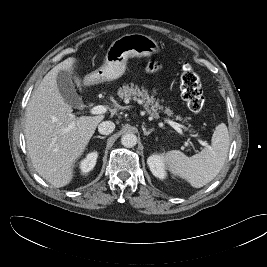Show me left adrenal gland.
Returning <instances> with one entry per match:
<instances>
[{
	"label": "left adrenal gland",
	"mask_w": 267,
	"mask_h": 267,
	"mask_svg": "<svg viewBox=\"0 0 267 267\" xmlns=\"http://www.w3.org/2000/svg\"><path fill=\"white\" fill-rule=\"evenodd\" d=\"M142 130L145 136H148L153 131L152 128L147 131L144 125H142Z\"/></svg>",
	"instance_id": "a2214340"
}]
</instances>
